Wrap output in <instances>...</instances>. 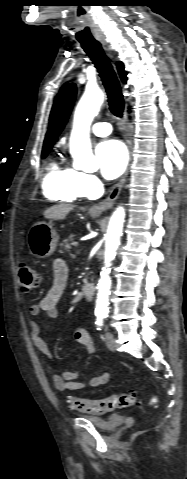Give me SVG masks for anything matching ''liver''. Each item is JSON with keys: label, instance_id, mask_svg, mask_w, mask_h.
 Instances as JSON below:
<instances>
[{"label": "liver", "instance_id": "1", "mask_svg": "<svg viewBox=\"0 0 187 479\" xmlns=\"http://www.w3.org/2000/svg\"><path fill=\"white\" fill-rule=\"evenodd\" d=\"M73 208L72 204L61 203L47 208L43 215L46 219L63 220Z\"/></svg>", "mask_w": 187, "mask_h": 479}]
</instances>
